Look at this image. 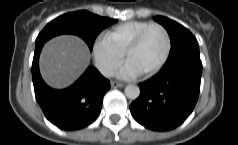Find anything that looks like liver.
<instances>
[{
	"label": "liver",
	"mask_w": 238,
	"mask_h": 145,
	"mask_svg": "<svg viewBox=\"0 0 238 145\" xmlns=\"http://www.w3.org/2000/svg\"><path fill=\"white\" fill-rule=\"evenodd\" d=\"M90 59L88 47L76 36L64 35L49 40L40 56V70L53 88L71 85L86 70Z\"/></svg>",
	"instance_id": "liver-1"
}]
</instances>
